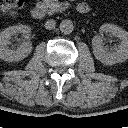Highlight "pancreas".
Masks as SVG:
<instances>
[{
    "label": "pancreas",
    "mask_w": 128,
    "mask_h": 128,
    "mask_svg": "<svg viewBox=\"0 0 128 128\" xmlns=\"http://www.w3.org/2000/svg\"><path fill=\"white\" fill-rule=\"evenodd\" d=\"M43 4L49 14L64 11L69 6L68 2H59L58 0H43Z\"/></svg>",
    "instance_id": "obj_1"
}]
</instances>
